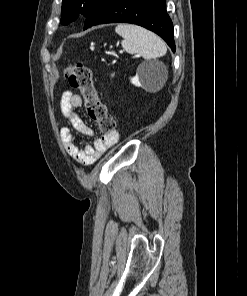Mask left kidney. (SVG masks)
<instances>
[{"label": "left kidney", "mask_w": 247, "mask_h": 296, "mask_svg": "<svg viewBox=\"0 0 247 296\" xmlns=\"http://www.w3.org/2000/svg\"><path fill=\"white\" fill-rule=\"evenodd\" d=\"M131 83L135 86L146 88L148 85V79L145 72L139 69L136 76L131 78Z\"/></svg>", "instance_id": "left-kidney-1"}]
</instances>
